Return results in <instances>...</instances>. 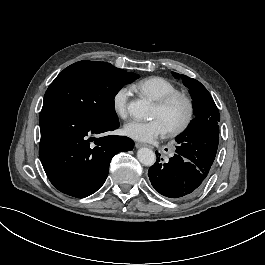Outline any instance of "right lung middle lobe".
<instances>
[{
    "mask_svg": "<svg viewBox=\"0 0 265 265\" xmlns=\"http://www.w3.org/2000/svg\"><path fill=\"white\" fill-rule=\"evenodd\" d=\"M138 75L106 62L79 61L65 68L50 84L43 107H54L92 123L115 124L114 97Z\"/></svg>",
    "mask_w": 265,
    "mask_h": 265,
    "instance_id": "right-lung-middle-lobe-1",
    "label": "right lung middle lobe"
}]
</instances>
